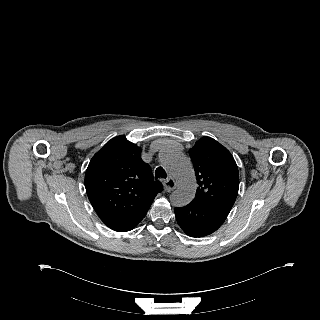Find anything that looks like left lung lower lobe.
I'll use <instances>...</instances> for the list:
<instances>
[{"mask_svg": "<svg viewBox=\"0 0 320 320\" xmlns=\"http://www.w3.org/2000/svg\"><path fill=\"white\" fill-rule=\"evenodd\" d=\"M174 210L179 226L191 237H203L213 233L229 214L226 210L196 201Z\"/></svg>", "mask_w": 320, "mask_h": 320, "instance_id": "1", "label": "left lung lower lobe"}]
</instances>
